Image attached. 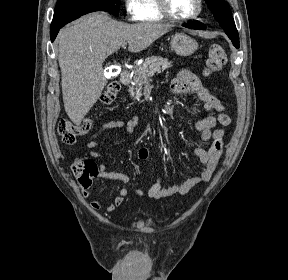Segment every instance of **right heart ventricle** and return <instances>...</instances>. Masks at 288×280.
<instances>
[{"instance_id": "right-heart-ventricle-1", "label": "right heart ventricle", "mask_w": 288, "mask_h": 280, "mask_svg": "<svg viewBox=\"0 0 288 280\" xmlns=\"http://www.w3.org/2000/svg\"><path fill=\"white\" fill-rule=\"evenodd\" d=\"M141 15L140 21L144 22H159L164 19L159 11L157 0H141Z\"/></svg>"}]
</instances>
